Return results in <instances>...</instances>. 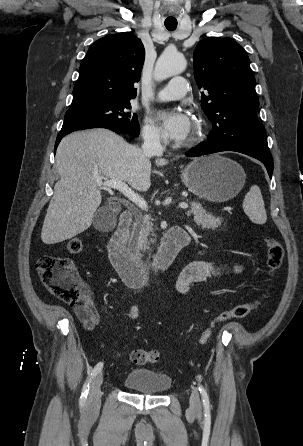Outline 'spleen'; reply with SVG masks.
I'll use <instances>...</instances> for the list:
<instances>
[{
  "label": "spleen",
  "mask_w": 303,
  "mask_h": 446,
  "mask_svg": "<svg viewBox=\"0 0 303 446\" xmlns=\"http://www.w3.org/2000/svg\"><path fill=\"white\" fill-rule=\"evenodd\" d=\"M243 209L250 220L256 224H264L267 221L266 210L261 190L253 185L243 200Z\"/></svg>",
  "instance_id": "1"
}]
</instances>
